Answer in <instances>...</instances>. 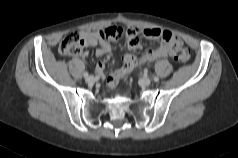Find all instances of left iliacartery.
I'll use <instances>...</instances> for the list:
<instances>
[{
    "label": "left iliac artery",
    "instance_id": "left-iliac-artery-1",
    "mask_svg": "<svg viewBox=\"0 0 238 158\" xmlns=\"http://www.w3.org/2000/svg\"><path fill=\"white\" fill-rule=\"evenodd\" d=\"M153 80H154L155 82H158V81H159V78H158L157 76H155V77L153 78Z\"/></svg>",
    "mask_w": 238,
    "mask_h": 158
}]
</instances>
